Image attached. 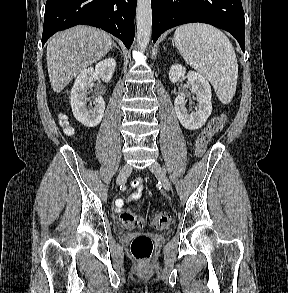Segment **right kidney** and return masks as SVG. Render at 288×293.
I'll use <instances>...</instances> for the list:
<instances>
[{"label":"right kidney","mask_w":288,"mask_h":293,"mask_svg":"<svg viewBox=\"0 0 288 293\" xmlns=\"http://www.w3.org/2000/svg\"><path fill=\"white\" fill-rule=\"evenodd\" d=\"M116 61L113 58L105 59L96 64L95 68H86L76 77L71 90L70 103L74 117L87 127L97 126L103 117L105 102L101 96L94 101L93 107L87 106L88 89L93 86L94 79L98 76L103 82L108 83L114 73Z\"/></svg>","instance_id":"right-kidney-1"}]
</instances>
